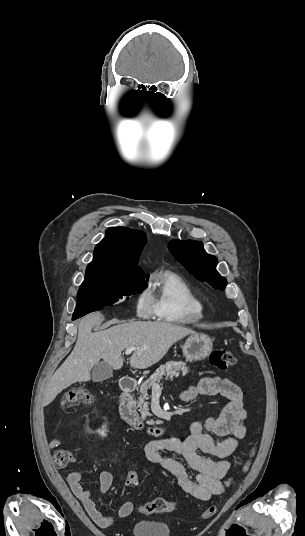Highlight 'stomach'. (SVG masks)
<instances>
[{"label":"stomach","instance_id":"stomach-1","mask_svg":"<svg viewBox=\"0 0 305 536\" xmlns=\"http://www.w3.org/2000/svg\"><path fill=\"white\" fill-rule=\"evenodd\" d=\"M213 350V340L206 334H192L187 338L183 348V356L186 360H205Z\"/></svg>","mask_w":305,"mask_h":536}]
</instances>
